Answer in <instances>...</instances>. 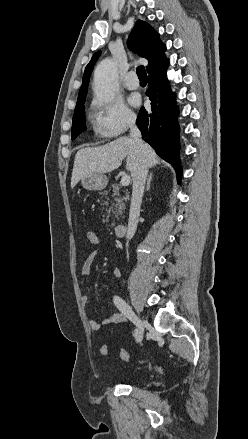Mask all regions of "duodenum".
<instances>
[{"mask_svg": "<svg viewBox=\"0 0 248 439\" xmlns=\"http://www.w3.org/2000/svg\"><path fill=\"white\" fill-rule=\"evenodd\" d=\"M127 225L125 223H118L115 225L114 231L117 236H122L126 232Z\"/></svg>", "mask_w": 248, "mask_h": 439, "instance_id": "1", "label": "duodenum"}]
</instances>
